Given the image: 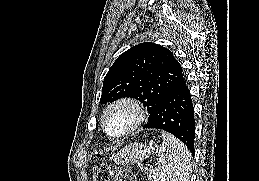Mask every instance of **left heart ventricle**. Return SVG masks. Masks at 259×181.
I'll use <instances>...</instances> for the list:
<instances>
[{"label": "left heart ventricle", "instance_id": "b2bd125f", "mask_svg": "<svg viewBox=\"0 0 259 181\" xmlns=\"http://www.w3.org/2000/svg\"><path fill=\"white\" fill-rule=\"evenodd\" d=\"M132 111L126 107L117 108L107 118V128L111 133L124 131L132 122Z\"/></svg>", "mask_w": 259, "mask_h": 181}]
</instances>
